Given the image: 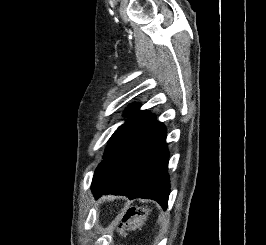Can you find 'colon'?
I'll use <instances>...</instances> for the list:
<instances>
[{"label":"colon","mask_w":266,"mask_h":245,"mask_svg":"<svg viewBox=\"0 0 266 245\" xmlns=\"http://www.w3.org/2000/svg\"><path fill=\"white\" fill-rule=\"evenodd\" d=\"M146 214V209L144 207H130L128 208L122 216V220L118 225V229L121 233H126L128 231H134L138 229L142 224V219Z\"/></svg>","instance_id":"1"}]
</instances>
